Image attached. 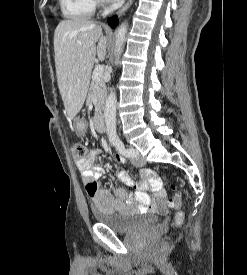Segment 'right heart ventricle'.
<instances>
[{
	"label": "right heart ventricle",
	"instance_id": "obj_1",
	"mask_svg": "<svg viewBox=\"0 0 247 275\" xmlns=\"http://www.w3.org/2000/svg\"><path fill=\"white\" fill-rule=\"evenodd\" d=\"M96 5V0H59V6L64 17L73 20L92 17Z\"/></svg>",
	"mask_w": 247,
	"mask_h": 275
}]
</instances>
